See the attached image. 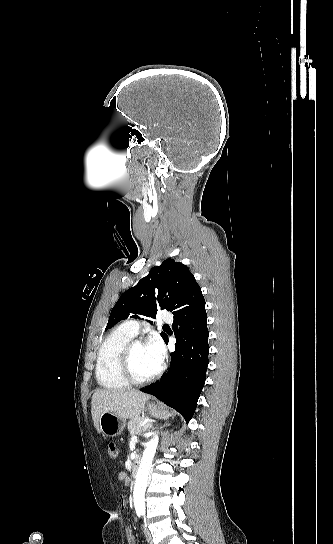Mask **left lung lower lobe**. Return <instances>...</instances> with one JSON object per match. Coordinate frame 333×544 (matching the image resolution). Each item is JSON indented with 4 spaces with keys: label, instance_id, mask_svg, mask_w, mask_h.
<instances>
[{
    "label": "left lung lower lobe",
    "instance_id": "0a47b994",
    "mask_svg": "<svg viewBox=\"0 0 333 544\" xmlns=\"http://www.w3.org/2000/svg\"><path fill=\"white\" fill-rule=\"evenodd\" d=\"M173 315L176 349L171 353L170 368L159 382L141 391L156 396L189 422L203 389L209 363V332L203 295ZM164 341L168 343V336Z\"/></svg>",
    "mask_w": 333,
    "mask_h": 544
}]
</instances>
